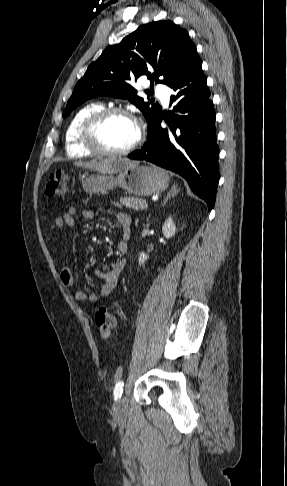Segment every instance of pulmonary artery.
I'll use <instances>...</instances> for the list:
<instances>
[{
  "label": "pulmonary artery",
  "instance_id": "1",
  "mask_svg": "<svg viewBox=\"0 0 287 486\" xmlns=\"http://www.w3.org/2000/svg\"><path fill=\"white\" fill-rule=\"evenodd\" d=\"M155 89L162 101L167 104L169 102V89L163 84H157Z\"/></svg>",
  "mask_w": 287,
  "mask_h": 486
}]
</instances>
